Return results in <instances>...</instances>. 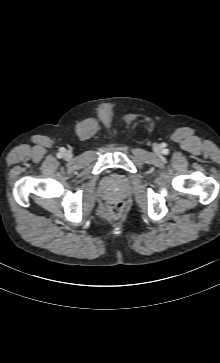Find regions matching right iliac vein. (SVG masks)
<instances>
[{
	"instance_id": "obj_1",
	"label": "right iliac vein",
	"mask_w": 220,
	"mask_h": 363,
	"mask_svg": "<svg viewBox=\"0 0 220 363\" xmlns=\"http://www.w3.org/2000/svg\"><path fill=\"white\" fill-rule=\"evenodd\" d=\"M63 157L65 160H70L72 158V153L70 151H64Z\"/></svg>"
}]
</instances>
